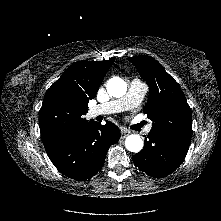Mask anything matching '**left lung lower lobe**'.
<instances>
[{
  "label": "left lung lower lobe",
  "mask_w": 221,
  "mask_h": 221,
  "mask_svg": "<svg viewBox=\"0 0 221 221\" xmlns=\"http://www.w3.org/2000/svg\"><path fill=\"white\" fill-rule=\"evenodd\" d=\"M190 138L151 130L145 136L143 149L133 156L135 165L155 178L169 175L184 161Z\"/></svg>",
  "instance_id": "obj_1"
}]
</instances>
